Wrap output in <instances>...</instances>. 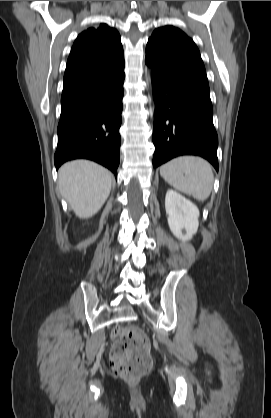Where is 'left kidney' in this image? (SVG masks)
Listing matches in <instances>:
<instances>
[{"instance_id": "left-kidney-1", "label": "left kidney", "mask_w": 271, "mask_h": 418, "mask_svg": "<svg viewBox=\"0 0 271 418\" xmlns=\"http://www.w3.org/2000/svg\"><path fill=\"white\" fill-rule=\"evenodd\" d=\"M165 209L171 232L182 241H189L197 233L199 209L195 204L169 189L165 197Z\"/></svg>"}]
</instances>
